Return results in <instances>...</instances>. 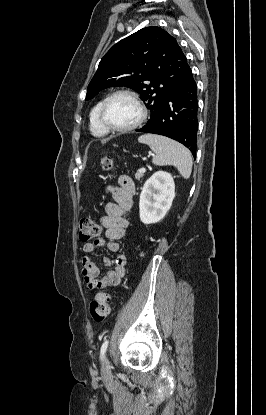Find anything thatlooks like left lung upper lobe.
<instances>
[{
    "label": "left lung upper lobe",
    "mask_w": 266,
    "mask_h": 415,
    "mask_svg": "<svg viewBox=\"0 0 266 415\" xmlns=\"http://www.w3.org/2000/svg\"><path fill=\"white\" fill-rule=\"evenodd\" d=\"M187 59L176 39L160 27H146L116 43L101 59L86 100L99 91L125 86L141 95L152 120L180 82Z\"/></svg>",
    "instance_id": "left-lung-upper-lobe-1"
}]
</instances>
